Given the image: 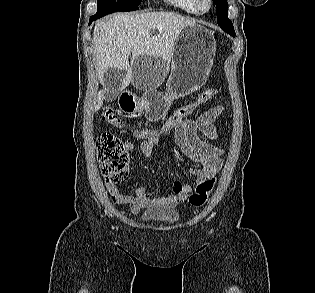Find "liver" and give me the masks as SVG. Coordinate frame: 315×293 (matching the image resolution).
I'll return each mask as SVG.
<instances>
[{"instance_id":"6515ba94","label":"liver","mask_w":315,"mask_h":293,"mask_svg":"<svg viewBox=\"0 0 315 293\" xmlns=\"http://www.w3.org/2000/svg\"><path fill=\"white\" fill-rule=\"evenodd\" d=\"M197 22L174 12L119 13L98 21L94 27L92 43L96 56L97 78L103 84L104 73L111 67L126 72L118 94L132 81L133 58L149 55L162 59L167 66L174 45L182 30ZM157 31L153 35V32ZM105 93L100 91L95 100V110L103 105Z\"/></svg>"}]
</instances>
